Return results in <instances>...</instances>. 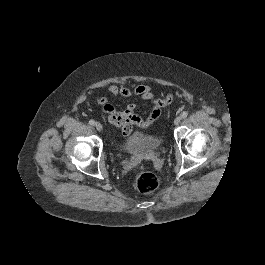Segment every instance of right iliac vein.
Masks as SVG:
<instances>
[{
	"label": "right iliac vein",
	"mask_w": 265,
	"mask_h": 265,
	"mask_svg": "<svg viewBox=\"0 0 265 265\" xmlns=\"http://www.w3.org/2000/svg\"><path fill=\"white\" fill-rule=\"evenodd\" d=\"M95 127H96V129H97L98 131H101V130L103 129V126H102V124H101L100 122H97V123L95 124Z\"/></svg>",
	"instance_id": "right-iliac-vein-1"
}]
</instances>
